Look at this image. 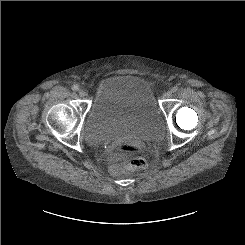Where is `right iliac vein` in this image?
<instances>
[{
	"mask_svg": "<svg viewBox=\"0 0 245 245\" xmlns=\"http://www.w3.org/2000/svg\"><path fill=\"white\" fill-rule=\"evenodd\" d=\"M78 94L80 97H85L87 95V92L85 89H79Z\"/></svg>",
	"mask_w": 245,
	"mask_h": 245,
	"instance_id": "1",
	"label": "right iliac vein"
}]
</instances>
